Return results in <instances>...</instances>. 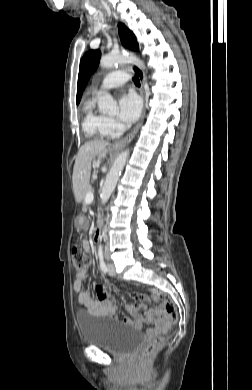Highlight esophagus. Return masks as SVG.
<instances>
[{
	"mask_svg": "<svg viewBox=\"0 0 252 390\" xmlns=\"http://www.w3.org/2000/svg\"><path fill=\"white\" fill-rule=\"evenodd\" d=\"M131 67L141 82V93H142L143 97H145V93H146L145 74L139 66L132 65ZM145 114H146V105L144 106L143 113H142L141 119L138 122V124L134 127V129L125 138H123L120 141H117L113 147L122 148V147H125L128 143H130L132 141V139L135 137L136 133L138 132L139 128L143 124Z\"/></svg>",
	"mask_w": 252,
	"mask_h": 390,
	"instance_id": "obj_1",
	"label": "esophagus"
}]
</instances>
